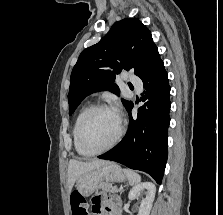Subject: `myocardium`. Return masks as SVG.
Segmentation results:
<instances>
[{
  "mask_svg": "<svg viewBox=\"0 0 223 215\" xmlns=\"http://www.w3.org/2000/svg\"><path fill=\"white\" fill-rule=\"evenodd\" d=\"M111 110L116 112L112 107H110L109 105L105 104V103H98L95 104L93 106H91L88 111L85 113V115L83 116L79 127H78V143L80 145V147L85 151V153H87L88 155H92V156H96L99 155L105 151L111 150L113 148L116 147V145L120 142L123 134H124V126L121 120V117L118 115V119H119V130L118 133L116 135V137L113 139V141L106 147L100 149V150H90L87 149L84 143V132H85V128L87 123L89 122L90 118L99 110Z\"/></svg>",
  "mask_w": 223,
  "mask_h": 215,
  "instance_id": "myocardium-1",
  "label": "myocardium"
}]
</instances>
